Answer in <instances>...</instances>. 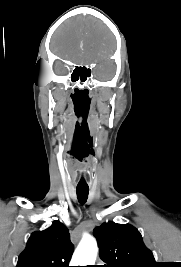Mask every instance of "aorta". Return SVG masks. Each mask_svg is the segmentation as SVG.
Here are the masks:
<instances>
[{"instance_id": "762f6f07", "label": "aorta", "mask_w": 181, "mask_h": 267, "mask_svg": "<svg viewBox=\"0 0 181 267\" xmlns=\"http://www.w3.org/2000/svg\"><path fill=\"white\" fill-rule=\"evenodd\" d=\"M98 246L95 238L84 236L77 246L71 260L72 266L93 265L96 261Z\"/></svg>"}]
</instances>
